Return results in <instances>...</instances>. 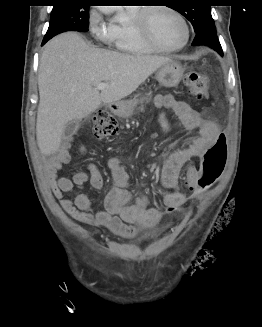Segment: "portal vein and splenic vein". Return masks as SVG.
I'll return each instance as SVG.
<instances>
[{"instance_id": "18ae733b", "label": "portal vein and splenic vein", "mask_w": 262, "mask_h": 327, "mask_svg": "<svg viewBox=\"0 0 262 327\" xmlns=\"http://www.w3.org/2000/svg\"><path fill=\"white\" fill-rule=\"evenodd\" d=\"M108 87H109V85L106 84V83H99V84L96 85V89H98V90H104V89H106Z\"/></svg>"}]
</instances>
